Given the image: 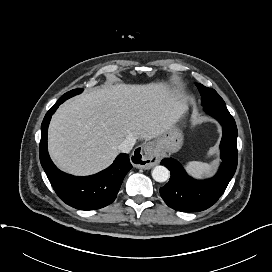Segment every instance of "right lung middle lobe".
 <instances>
[{"label":"right lung middle lobe","mask_w":272,"mask_h":272,"mask_svg":"<svg viewBox=\"0 0 272 272\" xmlns=\"http://www.w3.org/2000/svg\"><path fill=\"white\" fill-rule=\"evenodd\" d=\"M82 91H83V89H80V88L71 90V91L65 93L63 96H61L59 101L64 102L66 99H68V98H70V97H72L74 95H77V94L81 93Z\"/></svg>","instance_id":"obj_1"}]
</instances>
